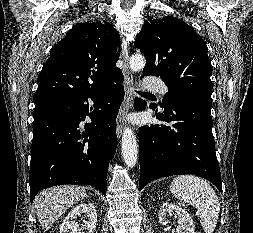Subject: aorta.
Returning a JSON list of instances; mask_svg holds the SVG:
<instances>
[{
	"label": "aorta",
	"instance_id": "obj_1",
	"mask_svg": "<svg viewBox=\"0 0 253 233\" xmlns=\"http://www.w3.org/2000/svg\"><path fill=\"white\" fill-rule=\"evenodd\" d=\"M129 64L133 72L140 71L145 66V58L141 54H134L130 57ZM121 150L126 166L134 167L138 159V146L136 136L129 127L123 131Z\"/></svg>",
	"mask_w": 253,
	"mask_h": 233
}]
</instances>
